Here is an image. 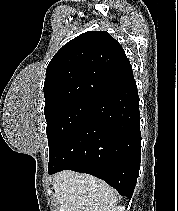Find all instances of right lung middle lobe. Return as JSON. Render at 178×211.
<instances>
[{
  "mask_svg": "<svg viewBox=\"0 0 178 211\" xmlns=\"http://www.w3.org/2000/svg\"><path fill=\"white\" fill-rule=\"evenodd\" d=\"M96 101L90 98H79L44 109L49 156L86 116Z\"/></svg>",
  "mask_w": 178,
  "mask_h": 211,
  "instance_id": "1",
  "label": "right lung middle lobe"
}]
</instances>
